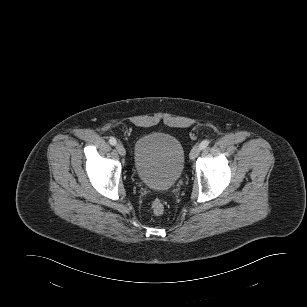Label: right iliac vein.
<instances>
[{
    "instance_id": "obj_1",
    "label": "right iliac vein",
    "mask_w": 307,
    "mask_h": 307,
    "mask_svg": "<svg viewBox=\"0 0 307 307\" xmlns=\"http://www.w3.org/2000/svg\"><path fill=\"white\" fill-rule=\"evenodd\" d=\"M116 150H117V152L119 153L120 156H125L126 151H125L124 146L121 143H118L116 145Z\"/></svg>"
}]
</instances>
